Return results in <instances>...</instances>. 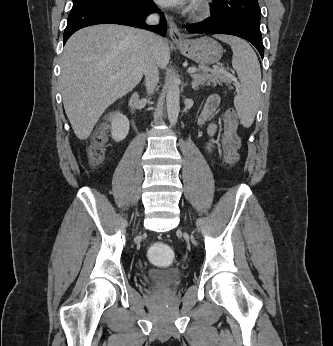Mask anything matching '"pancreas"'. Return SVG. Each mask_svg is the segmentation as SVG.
<instances>
[{"mask_svg": "<svg viewBox=\"0 0 333 346\" xmlns=\"http://www.w3.org/2000/svg\"><path fill=\"white\" fill-rule=\"evenodd\" d=\"M205 66H200L196 73L191 75L192 77V87L197 90L200 86H217L225 84H230L233 81V77L229 73H222L218 69L215 71H210Z\"/></svg>", "mask_w": 333, "mask_h": 346, "instance_id": "pancreas-1", "label": "pancreas"}]
</instances>
